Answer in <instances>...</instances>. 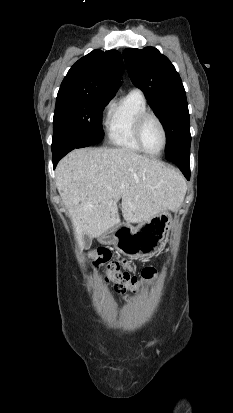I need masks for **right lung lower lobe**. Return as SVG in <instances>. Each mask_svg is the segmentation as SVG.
Wrapping results in <instances>:
<instances>
[{
  "label": "right lung lower lobe",
  "instance_id": "98d812e1",
  "mask_svg": "<svg viewBox=\"0 0 233 413\" xmlns=\"http://www.w3.org/2000/svg\"><path fill=\"white\" fill-rule=\"evenodd\" d=\"M81 147H86V145L64 146V147H59L57 149H52L54 168L56 167L59 160L62 157H64L67 153L72 151L74 148H81Z\"/></svg>",
  "mask_w": 233,
  "mask_h": 413
}]
</instances>
